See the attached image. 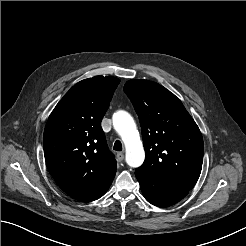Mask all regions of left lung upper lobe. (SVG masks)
Wrapping results in <instances>:
<instances>
[{"label":"left lung upper lobe","instance_id":"1","mask_svg":"<svg viewBox=\"0 0 246 246\" xmlns=\"http://www.w3.org/2000/svg\"><path fill=\"white\" fill-rule=\"evenodd\" d=\"M124 91L139 116L146 158L135 173L191 190L202 169L203 138L182 102L165 87L132 79Z\"/></svg>","mask_w":246,"mask_h":246}]
</instances>
